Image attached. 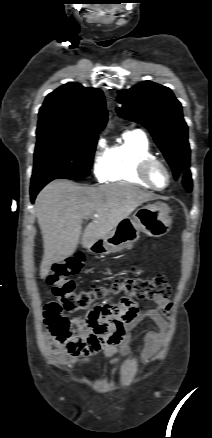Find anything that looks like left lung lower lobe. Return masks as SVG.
<instances>
[{"mask_svg":"<svg viewBox=\"0 0 212 438\" xmlns=\"http://www.w3.org/2000/svg\"><path fill=\"white\" fill-rule=\"evenodd\" d=\"M183 184L188 191L192 189V179L189 170L185 171L183 174Z\"/></svg>","mask_w":212,"mask_h":438,"instance_id":"1","label":"left lung lower lobe"}]
</instances>
